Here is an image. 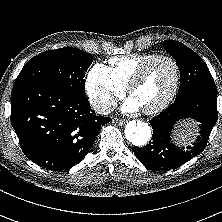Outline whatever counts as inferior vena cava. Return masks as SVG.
<instances>
[{"mask_svg":"<svg viewBox=\"0 0 222 222\" xmlns=\"http://www.w3.org/2000/svg\"><path fill=\"white\" fill-rule=\"evenodd\" d=\"M116 107V103H103L94 106V110L98 114L108 115Z\"/></svg>","mask_w":222,"mask_h":222,"instance_id":"inferior-vena-cava-1","label":"inferior vena cava"}]
</instances>
